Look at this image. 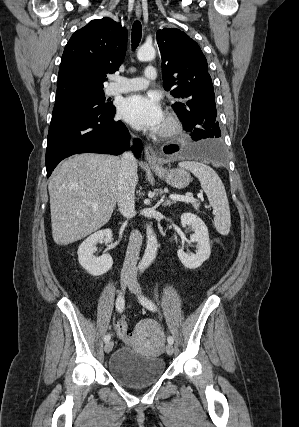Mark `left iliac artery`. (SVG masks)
<instances>
[{
	"instance_id": "obj_1",
	"label": "left iliac artery",
	"mask_w": 299,
	"mask_h": 427,
	"mask_svg": "<svg viewBox=\"0 0 299 427\" xmlns=\"http://www.w3.org/2000/svg\"><path fill=\"white\" fill-rule=\"evenodd\" d=\"M140 302H141V304L143 305V306H145L147 309H149V310H151V311H156L157 310V307H156V305L150 300V299H147L146 297H144V296H141L140 298ZM167 341H168V343H170V344H173L174 343V339H173V337L172 336H169L168 338H167Z\"/></svg>"
}]
</instances>
